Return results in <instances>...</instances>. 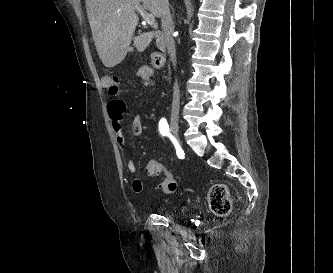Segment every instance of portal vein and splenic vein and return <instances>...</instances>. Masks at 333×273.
<instances>
[{
    "label": "portal vein and splenic vein",
    "mask_w": 333,
    "mask_h": 273,
    "mask_svg": "<svg viewBox=\"0 0 333 273\" xmlns=\"http://www.w3.org/2000/svg\"><path fill=\"white\" fill-rule=\"evenodd\" d=\"M136 9L141 14L147 24H155V17L152 14H148L142 6H136Z\"/></svg>",
    "instance_id": "portal-vein-and-splenic-vein-1"
}]
</instances>
